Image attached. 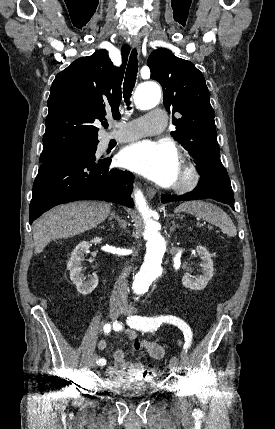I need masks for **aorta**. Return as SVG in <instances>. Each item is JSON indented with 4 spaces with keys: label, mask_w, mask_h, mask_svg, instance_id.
Here are the masks:
<instances>
[{
    "label": "aorta",
    "mask_w": 275,
    "mask_h": 429,
    "mask_svg": "<svg viewBox=\"0 0 275 429\" xmlns=\"http://www.w3.org/2000/svg\"><path fill=\"white\" fill-rule=\"evenodd\" d=\"M161 97V91L155 83H143L138 86L134 101L137 108L147 110L155 107ZM135 204L145 222L144 239L146 255L144 263L136 274L133 286L137 294L147 291L150 284L162 273V259L166 251V240L158 230V224L151 219V211L140 190L135 192Z\"/></svg>",
    "instance_id": "1"
}]
</instances>
